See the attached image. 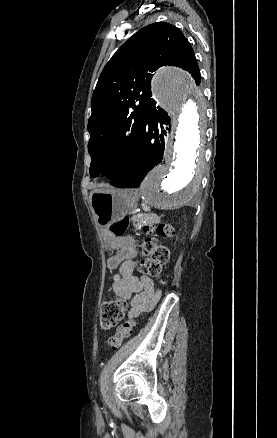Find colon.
I'll return each mask as SVG.
<instances>
[{"label":"colon","instance_id":"obj_1","mask_svg":"<svg viewBox=\"0 0 277 438\" xmlns=\"http://www.w3.org/2000/svg\"><path fill=\"white\" fill-rule=\"evenodd\" d=\"M130 220L128 217H124L109 228L112 235L120 237L124 235L129 228ZM143 231L146 234V238L143 241L141 252L144 255H148L149 258L143 259L140 262L139 270L141 273L148 275L152 278H158L161 272V267L169 262V250L167 247L158 243L157 236H170L173 233V227L168 223L158 222L152 218H146L143 224ZM126 309L124 301L111 298L106 300L101 308L100 325L104 329H110L118 325L123 318ZM135 322L129 320L117 329V332L110 336L109 343L113 348L121 346L124 339L129 338L132 335Z\"/></svg>","mask_w":277,"mask_h":438}]
</instances>
